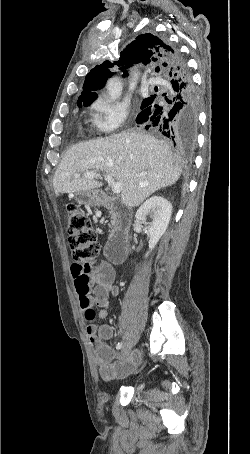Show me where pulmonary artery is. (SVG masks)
<instances>
[{"label": "pulmonary artery", "mask_w": 250, "mask_h": 454, "mask_svg": "<svg viewBox=\"0 0 250 454\" xmlns=\"http://www.w3.org/2000/svg\"><path fill=\"white\" fill-rule=\"evenodd\" d=\"M148 83L151 84V85H156V84H159V83H160V80H159L158 78L152 77V78H150V79L148 80Z\"/></svg>", "instance_id": "e3ab8cb5"}]
</instances>
